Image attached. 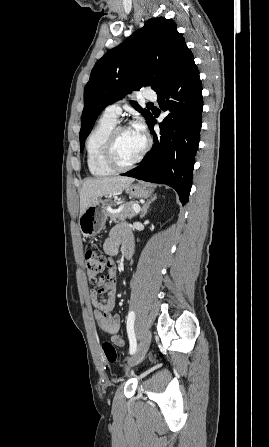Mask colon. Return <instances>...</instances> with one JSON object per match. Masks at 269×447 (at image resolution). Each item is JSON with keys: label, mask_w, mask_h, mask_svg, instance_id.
<instances>
[{"label": "colon", "mask_w": 269, "mask_h": 447, "mask_svg": "<svg viewBox=\"0 0 269 447\" xmlns=\"http://www.w3.org/2000/svg\"><path fill=\"white\" fill-rule=\"evenodd\" d=\"M106 265L107 256L103 252L90 249L84 254L85 274L89 282L96 283L101 280ZM101 350L108 362L114 363L118 359L117 349L111 342L104 341Z\"/></svg>", "instance_id": "1"}]
</instances>
